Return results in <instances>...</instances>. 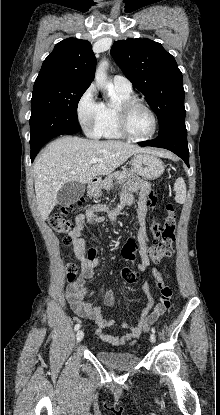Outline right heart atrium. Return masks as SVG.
<instances>
[{"label":"right heart atrium","mask_w":220,"mask_h":415,"mask_svg":"<svg viewBox=\"0 0 220 415\" xmlns=\"http://www.w3.org/2000/svg\"><path fill=\"white\" fill-rule=\"evenodd\" d=\"M77 116L85 133L98 138L103 117V104L97 100L94 86H90L80 97L77 104Z\"/></svg>","instance_id":"obj_1"}]
</instances>
